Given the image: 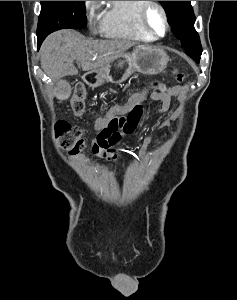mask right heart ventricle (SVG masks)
Returning <instances> with one entry per match:
<instances>
[{
	"label": "right heart ventricle",
	"mask_w": 237,
	"mask_h": 300,
	"mask_svg": "<svg viewBox=\"0 0 237 300\" xmlns=\"http://www.w3.org/2000/svg\"><path fill=\"white\" fill-rule=\"evenodd\" d=\"M145 1H108L103 12L100 30L106 36L151 39L140 17Z\"/></svg>",
	"instance_id": "e07e8e85"
}]
</instances>
